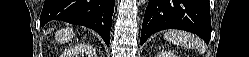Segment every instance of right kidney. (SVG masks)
Returning <instances> with one entry per match:
<instances>
[{
	"instance_id": "ca27d5eb",
	"label": "right kidney",
	"mask_w": 249,
	"mask_h": 57,
	"mask_svg": "<svg viewBox=\"0 0 249 57\" xmlns=\"http://www.w3.org/2000/svg\"><path fill=\"white\" fill-rule=\"evenodd\" d=\"M77 56V52L76 51H70L67 53H63L62 57H75Z\"/></svg>"
}]
</instances>
